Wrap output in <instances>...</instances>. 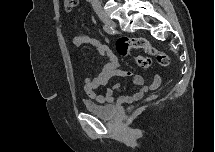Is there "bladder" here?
I'll use <instances>...</instances> for the list:
<instances>
[{
	"mask_svg": "<svg viewBox=\"0 0 215 152\" xmlns=\"http://www.w3.org/2000/svg\"><path fill=\"white\" fill-rule=\"evenodd\" d=\"M84 106L87 109V111L102 118H110L116 112L115 105H102L90 99L84 100Z\"/></svg>",
	"mask_w": 215,
	"mask_h": 152,
	"instance_id": "bladder-1",
	"label": "bladder"
}]
</instances>
